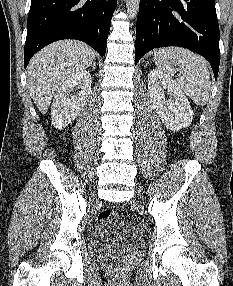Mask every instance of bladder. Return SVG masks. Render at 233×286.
I'll use <instances>...</instances> for the list:
<instances>
[{"label": "bladder", "instance_id": "31cf9c89", "mask_svg": "<svg viewBox=\"0 0 233 286\" xmlns=\"http://www.w3.org/2000/svg\"><path fill=\"white\" fill-rule=\"evenodd\" d=\"M110 241H120L131 247H137L141 241V235L130 224L121 223L116 220L102 221L96 227L94 242L101 244Z\"/></svg>", "mask_w": 233, "mask_h": 286}]
</instances>
